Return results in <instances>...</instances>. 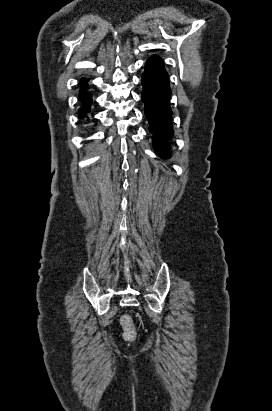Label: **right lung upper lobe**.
I'll return each instance as SVG.
<instances>
[{"label":"right lung upper lobe","mask_w":272,"mask_h":411,"mask_svg":"<svg viewBox=\"0 0 272 411\" xmlns=\"http://www.w3.org/2000/svg\"><path fill=\"white\" fill-rule=\"evenodd\" d=\"M84 80H86V79H81V82L84 81Z\"/></svg>","instance_id":"right-lung-upper-lobe-1"}]
</instances>
